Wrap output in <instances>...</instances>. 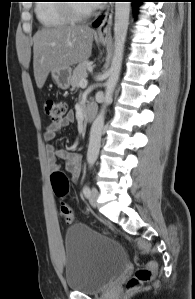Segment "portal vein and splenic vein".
<instances>
[{
	"label": "portal vein and splenic vein",
	"instance_id": "1",
	"mask_svg": "<svg viewBox=\"0 0 195 299\" xmlns=\"http://www.w3.org/2000/svg\"><path fill=\"white\" fill-rule=\"evenodd\" d=\"M87 86V80L86 79H82L80 81V87H86Z\"/></svg>",
	"mask_w": 195,
	"mask_h": 299
}]
</instances>
